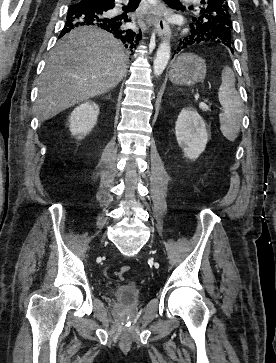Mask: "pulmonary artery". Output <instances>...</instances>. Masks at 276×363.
<instances>
[{
  "label": "pulmonary artery",
  "instance_id": "1",
  "mask_svg": "<svg viewBox=\"0 0 276 363\" xmlns=\"http://www.w3.org/2000/svg\"><path fill=\"white\" fill-rule=\"evenodd\" d=\"M183 1H185V2H191V1H193V0H183Z\"/></svg>",
  "mask_w": 276,
  "mask_h": 363
}]
</instances>
